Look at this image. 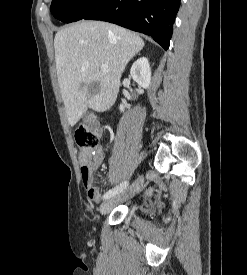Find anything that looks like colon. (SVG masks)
<instances>
[{
    "label": "colon",
    "mask_w": 247,
    "mask_h": 275,
    "mask_svg": "<svg viewBox=\"0 0 247 275\" xmlns=\"http://www.w3.org/2000/svg\"><path fill=\"white\" fill-rule=\"evenodd\" d=\"M75 142L83 152L85 159H92L95 156V149L100 139V130L96 127L80 126L75 131Z\"/></svg>",
    "instance_id": "5ec220e1"
}]
</instances>
